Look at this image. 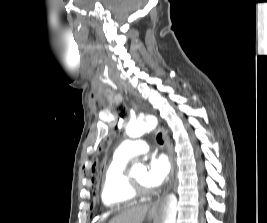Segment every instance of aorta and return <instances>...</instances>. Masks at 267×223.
<instances>
[{
	"instance_id": "762f6f07",
	"label": "aorta",
	"mask_w": 267,
	"mask_h": 223,
	"mask_svg": "<svg viewBox=\"0 0 267 223\" xmlns=\"http://www.w3.org/2000/svg\"><path fill=\"white\" fill-rule=\"evenodd\" d=\"M156 125L154 119L137 120L130 122L126 128L129 137H141L146 131L153 129ZM132 169L135 173L145 170L142 164H135ZM177 213V197L171 193L166 195L160 202L156 223H175Z\"/></svg>"
}]
</instances>
